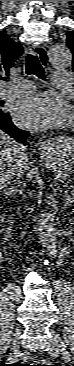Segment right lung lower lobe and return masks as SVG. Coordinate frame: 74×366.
I'll return each mask as SVG.
<instances>
[{
    "label": "right lung lower lobe",
    "instance_id": "98d812e1",
    "mask_svg": "<svg viewBox=\"0 0 74 366\" xmlns=\"http://www.w3.org/2000/svg\"><path fill=\"white\" fill-rule=\"evenodd\" d=\"M0 130H3L14 139L20 140L23 144H26V139L29 136V132L18 129L12 123L9 114H4L0 116Z\"/></svg>",
    "mask_w": 74,
    "mask_h": 366
}]
</instances>
